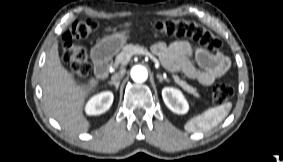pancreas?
<instances>
[{"label":"pancreas","mask_w":283,"mask_h":162,"mask_svg":"<svg viewBox=\"0 0 283 162\" xmlns=\"http://www.w3.org/2000/svg\"><path fill=\"white\" fill-rule=\"evenodd\" d=\"M143 51H147V49L140 47L139 45H133V44L126 45L123 47L122 51L117 56L116 62L117 63L122 62L123 60H125L127 56H131L134 54H142ZM172 78L174 79L175 83L179 85L187 93L193 95L196 98H199V94L197 93L196 88L192 87L186 81L182 80L178 75H172Z\"/></svg>","instance_id":"cf45deb5"}]
</instances>
